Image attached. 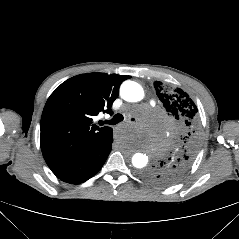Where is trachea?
<instances>
[{"label":"trachea","mask_w":239,"mask_h":239,"mask_svg":"<svg viewBox=\"0 0 239 239\" xmlns=\"http://www.w3.org/2000/svg\"><path fill=\"white\" fill-rule=\"evenodd\" d=\"M123 119L124 118L121 114H116L111 120L102 122V124L107 123L109 125H116L119 122H121ZM132 120H134V119H132Z\"/></svg>","instance_id":"1"}]
</instances>
